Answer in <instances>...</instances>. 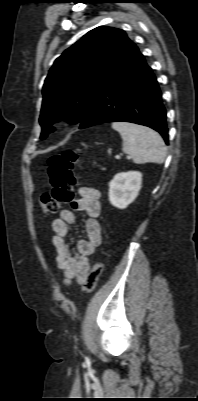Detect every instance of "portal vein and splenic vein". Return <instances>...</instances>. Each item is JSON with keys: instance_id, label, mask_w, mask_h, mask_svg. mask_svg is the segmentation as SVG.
<instances>
[{"instance_id": "portal-vein-and-splenic-vein-1", "label": "portal vein and splenic vein", "mask_w": 198, "mask_h": 401, "mask_svg": "<svg viewBox=\"0 0 198 401\" xmlns=\"http://www.w3.org/2000/svg\"><path fill=\"white\" fill-rule=\"evenodd\" d=\"M115 158H116V159H120V156H119V155H116ZM128 158H129V157H128Z\"/></svg>"}]
</instances>
